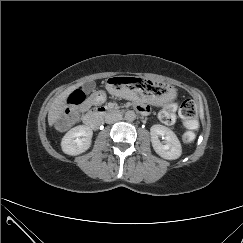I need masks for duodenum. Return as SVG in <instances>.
<instances>
[{
    "label": "duodenum",
    "instance_id": "1",
    "mask_svg": "<svg viewBox=\"0 0 243 243\" xmlns=\"http://www.w3.org/2000/svg\"><path fill=\"white\" fill-rule=\"evenodd\" d=\"M121 111L111 107L100 106L89 111L84 116L85 124L90 128H98L103 119L110 114H120Z\"/></svg>",
    "mask_w": 243,
    "mask_h": 243
}]
</instances>
